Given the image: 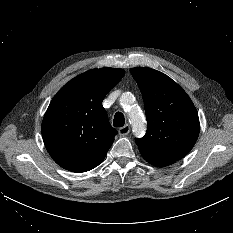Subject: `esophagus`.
Returning <instances> with one entry per match:
<instances>
[{"instance_id":"esophagus-1","label":"esophagus","mask_w":233,"mask_h":233,"mask_svg":"<svg viewBox=\"0 0 233 233\" xmlns=\"http://www.w3.org/2000/svg\"><path fill=\"white\" fill-rule=\"evenodd\" d=\"M129 132H130V126L128 124H126L125 126L119 129V134L121 136H126L128 135Z\"/></svg>"}]
</instances>
